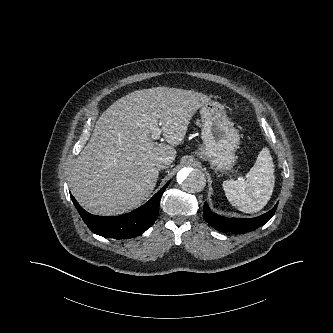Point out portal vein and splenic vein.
<instances>
[{"mask_svg": "<svg viewBox=\"0 0 333 333\" xmlns=\"http://www.w3.org/2000/svg\"><path fill=\"white\" fill-rule=\"evenodd\" d=\"M150 129H151V138H152L153 140H157V139H159L160 134H161V129L159 128L157 121H155V122L151 125Z\"/></svg>", "mask_w": 333, "mask_h": 333, "instance_id": "1", "label": "portal vein and splenic vein"}]
</instances>
